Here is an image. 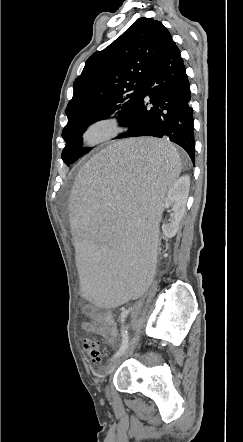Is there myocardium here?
I'll return each mask as SVG.
<instances>
[{"instance_id":"1","label":"myocardium","mask_w":243,"mask_h":442,"mask_svg":"<svg viewBox=\"0 0 243 442\" xmlns=\"http://www.w3.org/2000/svg\"><path fill=\"white\" fill-rule=\"evenodd\" d=\"M97 126H106L108 127V131L98 139L90 140L88 138V133L91 129ZM122 130V123L118 116L114 114H104L92 119L83 127L80 133V139L85 145L96 147L113 140L120 135Z\"/></svg>"}]
</instances>
